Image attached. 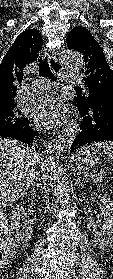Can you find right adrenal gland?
I'll list each match as a JSON object with an SVG mask.
<instances>
[{"label":"right adrenal gland","mask_w":113,"mask_h":279,"mask_svg":"<svg viewBox=\"0 0 113 279\" xmlns=\"http://www.w3.org/2000/svg\"><path fill=\"white\" fill-rule=\"evenodd\" d=\"M39 181H40V179H39V172H37L36 173L35 181H33V183L31 184L33 192H34V189L38 188V186L40 185Z\"/></svg>","instance_id":"1"}]
</instances>
